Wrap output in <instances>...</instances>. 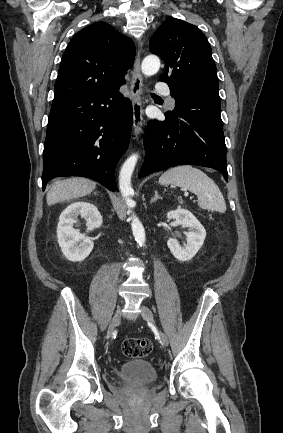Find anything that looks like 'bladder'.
Instances as JSON below:
<instances>
[{
    "label": "bladder",
    "instance_id": "31cf9c89",
    "mask_svg": "<svg viewBox=\"0 0 283 433\" xmlns=\"http://www.w3.org/2000/svg\"><path fill=\"white\" fill-rule=\"evenodd\" d=\"M118 376L125 382L136 381L137 384L150 385L157 380L158 372L153 364L138 360L121 365Z\"/></svg>",
    "mask_w": 283,
    "mask_h": 433
}]
</instances>
